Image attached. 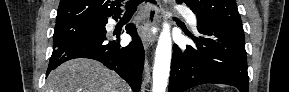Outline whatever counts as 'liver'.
Returning <instances> with one entry per match:
<instances>
[{"label":"liver","mask_w":289,"mask_h":92,"mask_svg":"<svg viewBox=\"0 0 289 92\" xmlns=\"http://www.w3.org/2000/svg\"><path fill=\"white\" fill-rule=\"evenodd\" d=\"M45 92H130V88L100 62L73 59L49 74Z\"/></svg>","instance_id":"obj_1"}]
</instances>
